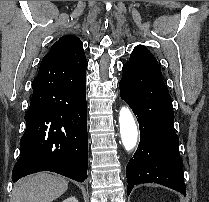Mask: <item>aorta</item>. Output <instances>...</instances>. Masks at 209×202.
Wrapping results in <instances>:
<instances>
[{
  "label": "aorta",
  "mask_w": 209,
  "mask_h": 202,
  "mask_svg": "<svg viewBox=\"0 0 209 202\" xmlns=\"http://www.w3.org/2000/svg\"><path fill=\"white\" fill-rule=\"evenodd\" d=\"M119 125L123 146L127 151H131L138 141V129L129 108H121L119 113Z\"/></svg>",
  "instance_id": "1"
}]
</instances>
